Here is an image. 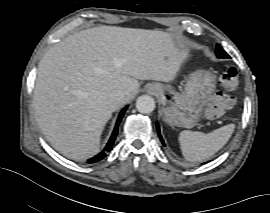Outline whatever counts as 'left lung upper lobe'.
Returning a JSON list of instances; mask_svg holds the SVG:
<instances>
[{
    "instance_id": "obj_1",
    "label": "left lung upper lobe",
    "mask_w": 270,
    "mask_h": 213,
    "mask_svg": "<svg viewBox=\"0 0 270 213\" xmlns=\"http://www.w3.org/2000/svg\"><path fill=\"white\" fill-rule=\"evenodd\" d=\"M216 56L218 58H229V55L223 50V48L217 44L216 46Z\"/></svg>"
}]
</instances>
